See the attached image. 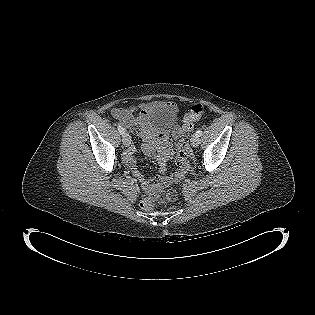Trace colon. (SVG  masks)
I'll return each instance as SVG.
<instances>
[{
    "instance_id": "1",
    "label": "colon",
    "mask_w": 315,
    "mask_h": 315,
    "mask_svg": "<svg viewBox=\"0 0 315 315\" xmlns=\"http://www.w3.org/2000/svg\"><path fill=\"white\" fill-rule=\"evenodd\" d=\"M204 111V106L201 103H194L190 106L189 111L186 113L183 124L178 132V141L176 145V163L178 169L173 170L168 179L157 182L152 187V194L142 203V208L145 211H151L153 208L152 201L155 198L160 200H169L174 198L175 193L170 191L168 194L163 195L164 185L167 181L177 182L180 181L189 169V162L187 159L186 139L193 131L195 123L201 118Z\"/></svg>"
}]
</instances>
